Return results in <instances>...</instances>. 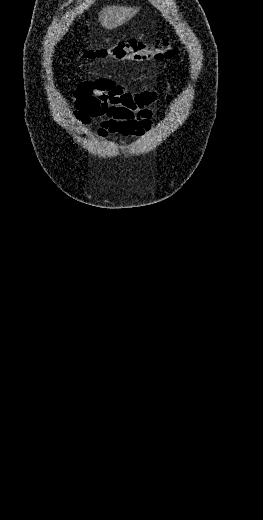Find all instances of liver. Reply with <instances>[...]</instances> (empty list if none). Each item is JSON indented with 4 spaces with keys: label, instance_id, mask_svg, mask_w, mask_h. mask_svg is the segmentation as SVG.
<instances>
[{
    "label": "liver",
    "instance_id": "liver-1",
    "mask_svg": "<svg viewBox=\"0 0 263 520\" xmlns=\"http://www.w3.org/2000/svg\"><path fill=\"white\" fill-rule=\"evenodd\" d=\"M138 11V7L107 6L99 13V21L103 27L114 29L133 18Z\"/></svg>",
    "mask_w": 263,
    "mask_h": 520
}]
</instances>
